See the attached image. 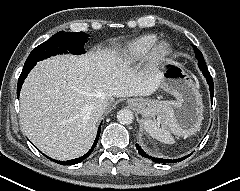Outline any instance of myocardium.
Instances as JSON below:
<instances>
[{
  "label": "myocardium",
  "mask_w": 240,
  "mask_h": 191,
  "mask_svg": "<svg viewBox=\"0 0 240 191\" xmlns=\"http://www.w3.org/2000/svg\"><path fill=\"white\" fill-rule=\"evenodd\" d=\"M171 45L165 41L156 42L150 49L147 56L148 69H155L162 65L171 54Z\"/></svg>",
  "instance_id": "f54148a6"
}]
</instances>
